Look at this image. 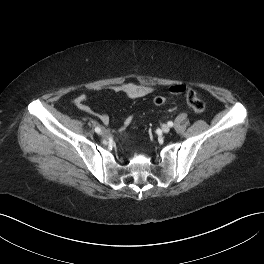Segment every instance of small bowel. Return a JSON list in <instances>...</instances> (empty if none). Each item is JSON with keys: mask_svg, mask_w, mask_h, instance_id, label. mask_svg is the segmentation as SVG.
I'll list each match as a JSON object with an SVG mask.
<instances>
[{"mask_svg": "<svg viewBox=\"0 0 264 264\" xmlns=\"http://www.w3.org/2000/svg\"><path fill=\"white\" fill-rule=\"evenodd\" d=\"M112 92L121 94L128 99H136L150 95L154 89L149 85H142V84H135L132 82H127L121 85L111 86L108 88ZM186 91V86L183 84H175L169 88V92L173 95H179ZM74 105L79 110L88 112L96 116L102 123L107 124L109 122V117L105 113L96 112L94 111L88 104H87V96L85 94L78 95L74 100ZM131 122V118H127L124 123L123 127H126Z\"/></svg>", "mask_w": 264, "mask_h": 264, "instance_id": "obj_1", "label": "small bowel"}]
</instances>
